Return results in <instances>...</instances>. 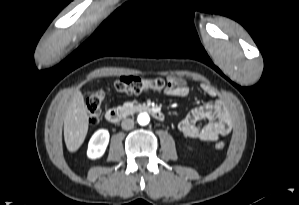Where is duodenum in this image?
I'll use <instances>...</instances> for the list:
<instances>
[{
	"label": "duodenum",
	"mask_w": 299,
	"mask_h": 205,
	"mask_svg": "<svg viewBox=\"0 0 299 205\" xmlns=\"http://www.w3.org/2000/svg\"><path fill=\"white\" fill-rule=\"evenodd\" d=\"M137 112L148 113L157 120L160 121L164 120V114L161 110L146 104L127 105V106L109 108L105 113V117L109 122L117 123L123 120L124 118L128 117L129 115Z\"/></svg>",
	"instance_id": "1"
}]
</instances>
